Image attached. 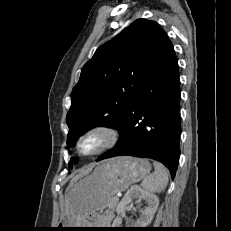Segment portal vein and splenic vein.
Returning <instances> with one entry per match:
<instances>
[{
    "instance_id": "1",
    "label": "portal vein and splenic vein",
    "mask_w": 231,
    "mask_h": 231,
    "mask_svg": "<svg viewBox=\"0 0 231 231\" xmlns=\"http://www.w3.org/2000/svg\"><path fill=\"white\" fill-rule=\"evenodd\" d=\"M120 194H116L115 199H119Z\"/></svg>"
}]
</instances>
